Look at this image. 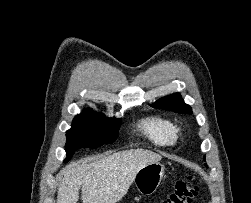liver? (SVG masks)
<instances>
[{"label":"liver","instance_id":"6515ba94","mask_svg":"<svg viewBox=\"0 0 251 203\" xmlns=\"http://www.w3.org/2000/svg\"><path fill=\"white\" fill-rule=\"evenodd\" d=\"M144 149L116 152L92 163L68 165L60 174L57 203H117L128 192L137 172L161 160Z\"/></svg>","mask_w":251,"mask_h":203}]
</instances>
